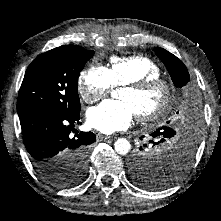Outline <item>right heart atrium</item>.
Segmentation results:
<instances>
[{
	"mask_svg": "<svg viewBox=\"0 0 221 221\" xmlns=\"http://www.w3.org/2000/svg\"><path fill=\"white\" fill-rule=\"evenodd\" d=\"M114 87L113 80L104 66H91L81 72L78 79V90L82 99L92 103L106 95Z\"/></svg>",
	"mask_w": 221,
	"mask_h": 221,
	"instance_id": "right-heart-atrium-1",
	"label": "right heart atrium"
}]
</instances>
